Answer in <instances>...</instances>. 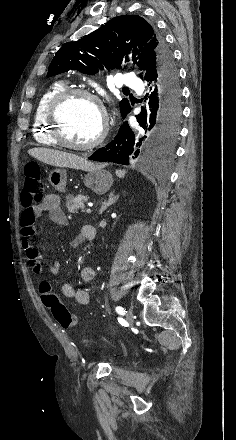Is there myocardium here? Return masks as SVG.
I'll return each mask as SVG.
<instances>
[{
  "label": "myocardium",
  "instance_id": "f54148a6",
  "mask_svg": "<svg viewBox=\"0 0 236 440\" xmlns=\"http://www.w3.org/2000/svg\"><path fill=\"white\" fill-rule=\"evenodd\" d=\"M73 97H81L93 102L98 108L101 115V128L98 135L92 141L85 144L72 143L67 140L62 133L59 111L61 107L70 98ZM45 119L49 128L50 135L54 139V141L59 146L71 150L85 151L94 149L104 141L108 133V117L101 99L89 90L82 88L65 87L64 89L56 93L47 105Z\"/></svg>",
  "mask_w": 236,
  "mask_h": 440
}]
</instances>
